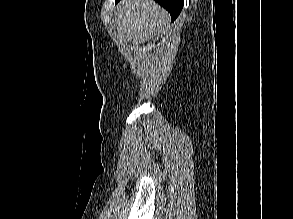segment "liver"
Returning a JSON list of instances; mask_svg holds the SVG:
<instances>
[{
	"label": "liver",
	"instance_id": "liver-1",
	"mask_svg": "<svg viewBox=\"0 0 293 219\" xmlns=\"http://www.w3.org/2000/svg\"><path fill=\"white\" fill-rule=\"evenodd\" d=\"M114 17L119 38L133 45L144 44L170 20L169 13L153 0H122Z\"/></svg>",
	"mask_w": 293,
	"mask_h": 219
}]
</instances>
